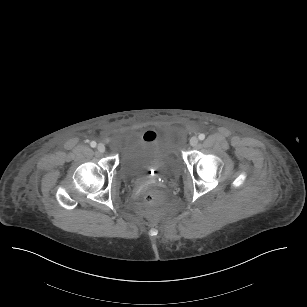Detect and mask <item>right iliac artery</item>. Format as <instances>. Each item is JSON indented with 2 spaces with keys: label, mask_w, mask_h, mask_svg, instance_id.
Returning <instances> with one entry per match:
<instances>
[{
  "label": "right iliac artery",
  "mask_w": 307,
  "mask_h": 307,
  "mask_svg": "<svg viewBox=\"0 0 307 307\" xmlns=\"http://www.w3.org/2000/svg\"><path fill=\"white\" fill-rule=\"evenodd\" d=\"M96 145H97V144H96L95 141H92V142L90 143V146L93 147V148L96 147Z\"/></svg>",
  "instance_id": "82829eb1"
}]
</instances>
